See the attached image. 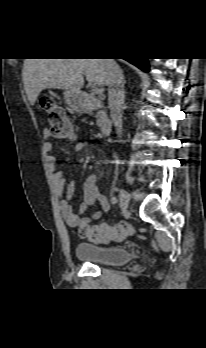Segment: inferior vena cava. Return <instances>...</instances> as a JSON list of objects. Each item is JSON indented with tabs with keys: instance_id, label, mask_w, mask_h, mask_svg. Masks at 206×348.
<instances>
[{
	"instance_id": "1",
	"label": "inferior vena cava",
	"mask_w": 206,
	"mask_h": 348,
	"mask_svg": "<svg viewBox=\"0 0 206 348\" xmlns=\"http://www.w3.org/2000/svg\"><path fill=\"white\" fill-rule=\"evenodd\" d=\"M107 70L108 104L117 134H122V106L124 103V80L120 67L114 59H104Z\"/></svg>"
}]
</instances>
